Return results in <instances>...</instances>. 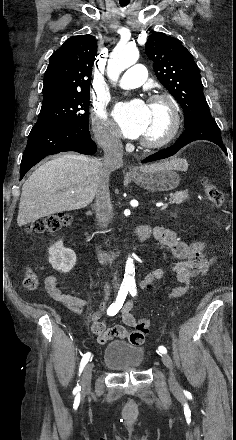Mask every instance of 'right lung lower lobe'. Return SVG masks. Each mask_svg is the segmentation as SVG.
<instances>
[{"instance_id": "1", "label": "right lung lower lobe", "mask_w": 236, "mask_h": 440, "mask_svg": "<svg viewBox=\"0 0 236 440\" xmlns=\"http://www.w3.org/2000/svg\"><path fill=\"white\" fill-rule=\"evenodd\" d=\"M70 150L86 155L97 151L88 129L55 124L34 125L22 157L20 180L44 157Z\"/></svg>"}]
</instances>
